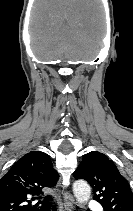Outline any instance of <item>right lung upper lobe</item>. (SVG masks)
Wrapping results in <instances>:
<instances>
[{"mask_svg": "<svg viewBox=\"0 0 133 211\" xmlns=\"http://www.w3.org/2000/svg\"><path fill=\"white\" fill-rule=\"evenodd\" d=\"M57 179L48 154L34 151L24 155L0 179V211H37L28 197L54 187Z\"/></svg>", "mask_w": 133, "mask_h": 211, "instance_id": "obj_1", "label": "right lung upper lobe"}]
</instances>
